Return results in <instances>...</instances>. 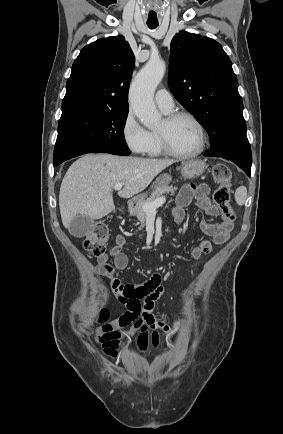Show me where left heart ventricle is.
I'll return each mask as SVG.
<instances>
[{
  "label": "left heart ventricle",
  "mask_w": 283,
  "mask_h": 434,
  "mask_svg": "<svg viewBox=\"0 0 283 434\" xmlns=\"http://www.w3.org/2000/svg\"><path fill=\"white\" fill-rule=\"evenodd\" d=\"M158 131L166 134L171 147L180 153H189L194 151L198 146V132L194 124L186 119L181 118L171 124L165 120L160 124Z\"/></svg>",
  "instance_id": "obj_1"
}]
</instances>
